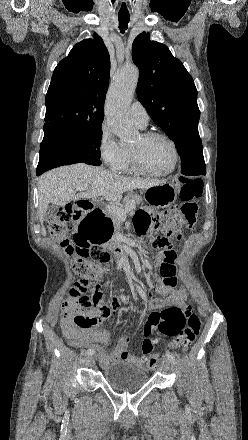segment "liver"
<instances>
[{
    "instance_id": "obj_1",
    "label": "liver",
    "mask_w": 248,
    "mask_h": 440,
    "mask_svg": "<svg viewBox=\"0 0 248 440\" xmlns=\"http://www.w3.org/2000/svg\"><path fill=\"white\" fill-rule=\"evenodd\" d=\"M163 181L124 177L102 167L84 163L58 167L40 176L38 182V216L43 223L50 203L63 206L80 198L104 197L118 202L122 194L134 189H147ZM87 186V189L81 188ZM77 191H81L76 195ZM43 235L46 234L42 228Z\"/></svg>"
}]
</instances>
